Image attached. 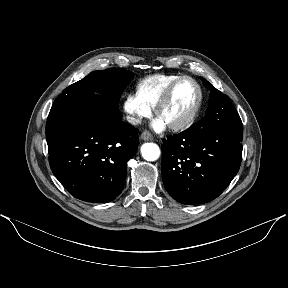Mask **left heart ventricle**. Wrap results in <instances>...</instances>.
Segmentation results:
<instances>
[{
  "label": "left heart ventricle",
  "mask_w": 288,
  "mask_h": 288,
  "mask_svg": "<svg viewBox=\"0 0 288 288\" xmlns=\"http://www.w3.org/2000/svg\"><path fill=\"white\" fill-rule=\"evenodd\" d=\"M196 99V86L189 80H183L175 88L169 103L163 108L159 118L167 125L183 120L193 109Z\"/></svg>",
  "instance_id": "obj_1"
}]
</instances>
